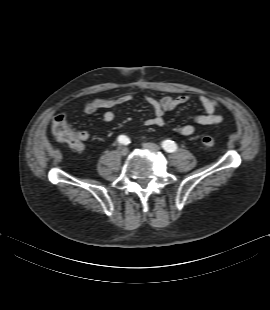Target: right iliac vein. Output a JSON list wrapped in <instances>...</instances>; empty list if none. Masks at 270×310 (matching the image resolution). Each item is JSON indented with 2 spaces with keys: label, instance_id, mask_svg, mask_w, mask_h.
<instances>
[{
  "label": "right iliac vein",
  "instance_id": "63e3f726",
  "mask_svg": "<svg viewBox=\"0 0 270 310\" xmlns=\"http://www.w3.org/2000/svg\"><path fill=\"white\" fill-rule=\"evenodd\" d=\"M119 152L122 156H126L128 154V148L126 146H121Z\"/></svg>",
  "mask_w": 270,
  "mask_h": 310
}]
</instances>
